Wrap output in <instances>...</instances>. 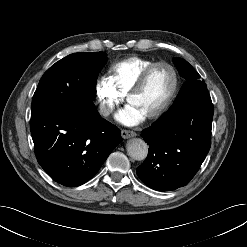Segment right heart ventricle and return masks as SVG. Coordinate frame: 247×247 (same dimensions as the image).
<instances>
[{
    "label": "right heart ventricle",
    "mask_w": 247,
    "mask_h": 247,
    "mask_svg": "<svg viewBox=\"0 0 247 247\" xmlns=\"http://www.w3.org/2000/svg\"><path fill=\"white\" fill-rule=\"evenodd\" d=\"M152 63L153 60L138 56L123 59L111 66L108 80L120 95L126 96L141 72Z\"/></svg>",
    "instance_id": "right-heart-ventricle-1"
}]
</instances>
